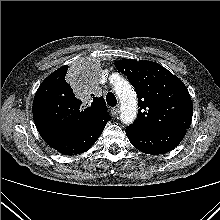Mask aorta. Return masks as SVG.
Instances as JSON below:
<instances>
[{
  "mask_svg": "<svg viewBox=\"0 0 220 220\" xmlns=\"http://www.w3.org/2000/svg\"><path fill=\"white\" fill-rule=\"evenodd\" d=\"M114 90L121 103V121L128 125L132 124L137 116V95L134 88L128 81L118 76Z\"/></svg>",
  "mask_w": 220,
  "mask_h": 220,
  "instance_id": "obj_1",
  "label": "aorta"
}]
</instances>
